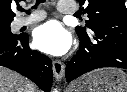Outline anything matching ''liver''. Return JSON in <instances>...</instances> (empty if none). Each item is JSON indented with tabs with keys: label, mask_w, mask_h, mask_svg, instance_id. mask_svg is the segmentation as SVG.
Wrapping results in <instances>:
<instances>
[{
	"label": "liver",
	"mask_w": 127,
	"mask_h": 92,
	"mask_svg": "<svg viewBox=\"0 0 127 92\" xmlns=\"http://www.w3.org/2000/svg\"><path fill=\"white\" fill-rule=\"evenodd\" d=\"M30 83L22 75L0 66V92H39L34 86L28 89Z\"/></svg>",
	"instance_id": "1"
}]
</instances>
